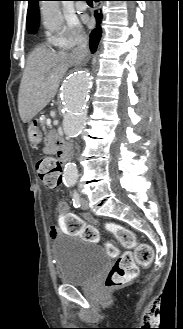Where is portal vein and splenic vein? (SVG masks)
<instances>
[{"label":"portal vein and splenic vein","instance_id":"18ae733b","mask_svg":"<svg viewBox=\"0 0 183 329\" xmlns=\"http://www.w3.org/2000/svg\"><path fill=\"white\" fill-rule=\"evenodd\" d=\"M46 123H47V125H51V120L50 119H47L46 120Z\"/></svg>","mask_w":183,"mask_h":329}]
</instances>
